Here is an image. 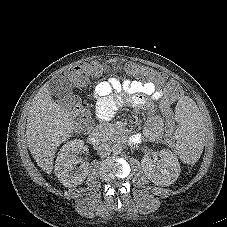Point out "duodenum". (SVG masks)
I'll list each match as a JSON object with an SVG mask.
<instances>
[{
	"instance_id": "duodenum-1",
	"label": "duodenum",
	"mask_w": 227,
	"mask_h": 227,
	"mask_svg": "<svg viewBox=\"0 0 227 227\" xmlns=\"http://www.w3.org/2000/svg\"><path fill=\"white\" fill-rule=\"evenodd\" d=\"M103 135V131L101 129H97L88 133L87 138L88 141L93 145H98L100 143V138Z\"/></svg>"
}]
</instances>
